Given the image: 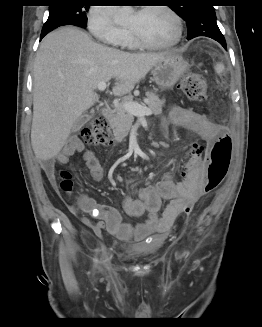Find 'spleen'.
Returning a JSON list of instances; mask_svg holds the SVG:
<instances>
[{"label": "spleen", "instance_id": "3e777b00", "mask_svg": "<svg viewBox=\"0 0 262 327\" xmlns=\"http://www.w3.org/2000/svg\"><path fill=\"white\" fill-rule=\"evenodd\" d=\"M217 74H222L224 72V65L222 63H217L214 67Z\"/></svg>", "mask_w": 262, "mask_h": 327}]
</instances>
